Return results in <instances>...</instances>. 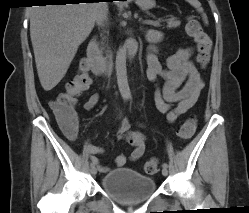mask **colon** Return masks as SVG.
Masks as SVG:
<instances>
[{
    "label": "colon",
    "instance_id": "5ec220e1",
    "mask_svg": "<svg viewBox=\"0 0 249 213\" xmlns=\"http://www.w3.org/2000/svg\"><path fill=\"white\" fill-rule=\"evenodd\" d=\"M186 32L196 41L198 45L197 61L202 67H205L210 57V38L203 32L200 23L194 17L188 18ZM91 82L88 65L83 62L73 79L66 84L65 91L60 93L56 99L49 103L51 110L60 124L69 127L75 123L76 116L74 113V106L76 99L90 87ZM195 129L196 119L193 116H190L181 125L179 137L188 139L194 134ZM157 170L158 161L155 158H149L144 162L143 171L146 174H154Z\"/></svg>",
    "mask_w": 249,
    "mask_h": 213
}]
</instances>
